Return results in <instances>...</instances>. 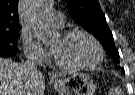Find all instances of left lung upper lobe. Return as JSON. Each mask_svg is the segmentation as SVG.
<instances>
[{"label":"left lung upper lobe","instance_id":"1","mask_svg":"<svg viewBox=\"0 0 135 95\" xmlns=\"http://www.w3.org/2000/svg\"><path fill=\"white\" fill-rule=\"evenodd\" d=\"M74 21L95 36L115 62H119V53L115 47L105 15L98 0H66ZM123 70V68H122Z\"/></svg>","mask_w":135,"mask_h":95}]
</instances>
